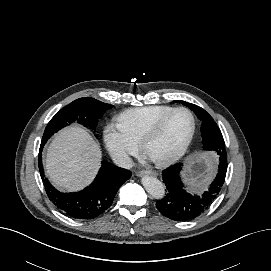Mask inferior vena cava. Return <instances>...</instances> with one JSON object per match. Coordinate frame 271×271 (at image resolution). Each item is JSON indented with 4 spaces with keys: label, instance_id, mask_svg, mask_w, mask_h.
Wrapping results in <instances>:
<instances>
[{
    "label": "inferior vena cava",
    "instance_id": "1",
    "mask_svg": "<svg viewBox=\"0 0 271 271\" xmlns=\"http://www.w3.org/2000/svg\"><path fill=\"white\" fill-rule=\"evenodd\" d=\"M113 162L122 168L130 169L133 167V161L124 152H117L111 155Z\"/></svg>",
    "mask_w": 271,
    "mask_h": 271
}]
</instances>
